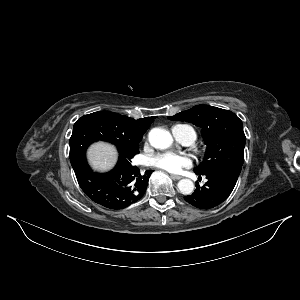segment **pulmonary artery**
<instances>
[{
  "mask_svg": "<svg viewBox=\"0 0 300 300\" xmlns=\"http://www.w3.org/2000/svg\"><path fill=\"white\" fill-rule=\"evenodd\" d=\"M175 139L183 144H192L196 139L194 129L189 125H176L172 128Z\"/></svg>",
  "mask_w": 300,
  "mask_h": 300,
  "instance_id": "pulmonary-artery-1",
  "label": "pulmonary artery"
}]
</instances>
